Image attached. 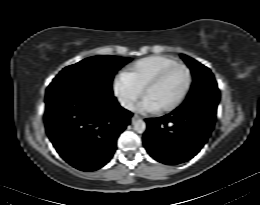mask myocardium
<instances>
[{
  "label": "myocardium",
  "instance_id": "myocardium-1",
  "mask_svg": "<svg viewBox=\"0 0 260 205\" xmlns=\"http://www.w3.org/2000/svg\"><path fill=\"white\" fill-rule=\"evenodd\" d=\"M176 67H181L183 68L186 73H187V83L186 86L184 88V90L182 91V93L178 96V98L176 100H174L172 103L160 107L157 110L159 112H169V111H173L174 109H176L177 107H179L184 100L186 99L192 84H193V73L191 71V69L183 62H176L173 63L171 65L166 66L165 68L161 69L158 73H156L147 83L146 85L143 87L142 89V94L145 97L147 92L154 87L170 70H172L173 68Z\"/></svg>",
  "mask_w": 260,
  "mask_h": 205
}]
</instances>
